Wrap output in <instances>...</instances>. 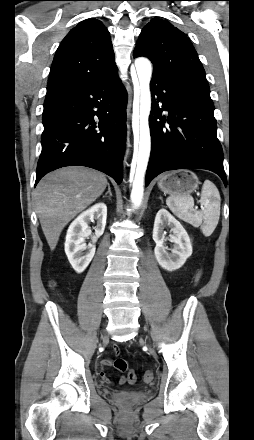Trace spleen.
I'll use <instances>...</instances> for the list:
<instances>
[{"label":"spleen","mask_w":254,"mask_h":440,"mask_svg":"<svg viewBox=\"0 0 254 440\" xmlns=\"http://www.w3.org/2000/svg\"><path fill=\"white\" fill-rule=\"evenodd\" d=\"M202 210L194 209V199L190 195L170 196L166 203L179 219L199 227L204 236H210L215 230L219 217L221 198L215 184L206 180L201 191Z\"/></svg>","instance_id":"obj_1"}]
</instances>
